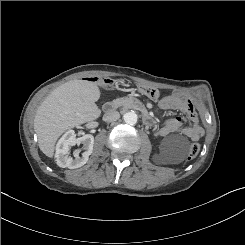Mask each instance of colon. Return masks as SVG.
<instances>
[{
	"mask_svg": "<svg viewBox=\"0 0 245 245\" xmlns=\"http://www.w3.org/2000/svg\"><path fill=\"white\" fill-rule=\"evenodd\" d=\"M139 91L142 94L152 99H157L161 96V91L151 86H140ZM199 152H200V145L197 143L191 144L188 151V159L195 158L199 154Z\"/></svg>",
	"mask_w": 245,
	"mask_h": 245,
	"instance_id": "1",
	"label": "colon"
}]
</instances>
